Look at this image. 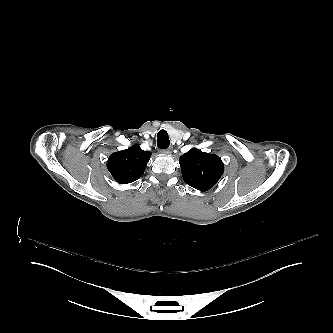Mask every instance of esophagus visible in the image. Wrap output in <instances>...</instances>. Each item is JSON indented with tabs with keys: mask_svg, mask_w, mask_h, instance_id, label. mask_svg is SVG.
Returning a JSON list of instances; mask_svg holds the SVG:
<instances>
[{
	"mask_svg": "<svg viewBox=\"0 0 333 333\" xmlns=\"http://www.w3.org/2000/svg\"><path fill=\"white\" fill-rule=\"evenodd\" d=\"M162 152H163L164 154H166V155H171V153H172V149H171V148H167V149L163 150Z\"/></svg>",
	"mask_w": 333,
	"mask_h": 333,
	"instance_id": "1",
	"label": "esophagus"
}]
</instances>
